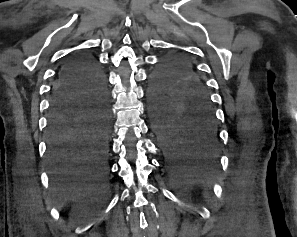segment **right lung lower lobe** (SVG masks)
<instances>
[{"label": "right lung lower lobe", "instance_id": "right-lung-lower-lobe-1", "mask_svg": "<svg viewBox=\"0 0 297 237\" xmlns=\"http://www.w3.org/2000/svg\"><path fill=\"white\" fill-rule=\"evenodd\" d=\"M109 101L91 56H73L52 87L48 163L54 173L108 172Z\"/></svg>", "mask_w": 297, "mask_h": 237}]
</instances>
